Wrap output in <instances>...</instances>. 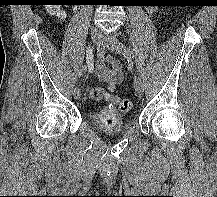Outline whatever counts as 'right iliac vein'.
I'll return each mask as SVG.
<instances>
[{"mask_svg":"<svg viewBox=\"0 0 217 197\" xmlns=\"http://www.w3.org/2000/svg\"><path fill=\"white\" fill-rule=\"evenodd\" d=\"M91 39L92 41L97 44L100 40V31L97 28H93L91 31ZM74 98L79 99L81 96L80 88H75L73 92Z\"/></svg>","mask_w":217,"mask_h":197,"instance_id":"right-iliac-vein-1","label":"right iliac vein"}]
</instances>
